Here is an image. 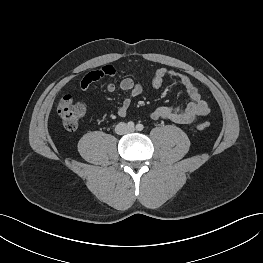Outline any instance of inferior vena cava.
Returning <instances> with one entry per match:
<instances>
[{
  "label": "inferior vena cava",
  "instance_id": "1",
  "mask_svg": "<svg viewBox=\"0 0 263 263\" xmlns=\"http://www.w3.org/2000/svg\"><path fill=\"white\" fill-rule=\"evenodd\" d=\"M131 131V129L127 126L126 123H119L116 125L115 127V132L119 135H123L126 133H129Z\"/></svg>",
  "mask_w": 263,
  "mask_h": 263
}]
</instances>
